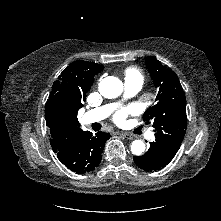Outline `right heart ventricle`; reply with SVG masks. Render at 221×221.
<instances>
[{"mask_svg":"<svg viewBox=\"0 0 221 221\" xmlns=\"http://www.w3.org/2000/svg\"><path fill=\"white\" fill-rule=\"evenodd\" d=\"M126 77H139L142 79L141 73L135 68L128 69L126 72Z\"/></svg>","mask_w":221,"mask_h":221,"instance_id":"right-heart-ventricle-1","label":"right heart ventricle"}]
</instances>
